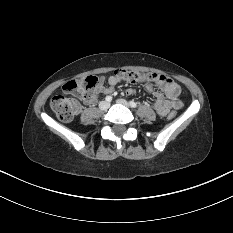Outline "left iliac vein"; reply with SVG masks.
<instances>
[{"mask_svg":"<svg viewBox=\"0 0 233 233\" xmlns=\"http://www.w3.org/2000/svg\"><path fill=\"white\" fill-rule=\"evenodd\" d=\"M116 102L130 108V104L125 99H118Z\"/></svg>","mask_w":233,"mask_h":233,"instance_id":"4c4485c4","label":"left iliac vein"}]
</instances>
